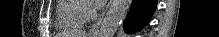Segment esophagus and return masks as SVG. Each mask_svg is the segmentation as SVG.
Here are the masks:
<instances>
[{"label":"esophagus","instance_id":"1","mask_svg":"<svg viewBox=\"0 0 219 37\" xmlns=\"http://www.w3.org/2000/svg\"><path fill=\"white\" fill-rule=\"evenodd\" d=\"M102 18H100L90 29L89 34L91 37H96L99 33V27L101 25Z\"/></svg>","mask_w":219,"mask_h":37}]
</instances>
